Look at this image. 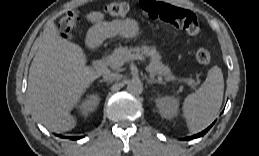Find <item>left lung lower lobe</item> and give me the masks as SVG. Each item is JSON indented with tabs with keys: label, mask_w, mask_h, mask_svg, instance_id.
Instances as JSON below:
<instances>
[{
	"label": "left lung lower lobe",
	"mask_w": 259,
	"mask_h": 156,
	"mask_svg": "<svg viewBox=\"0 0 259 156\" xmlns=\"http://www.w3.org/2000/svg\"><path fill=\"white\" fill-rule=\"evenodd\" d=\"M213 126V124H211L206 130H204L203 132L199 133V134H196L194 136H190V137H187V138H184L183 140H192L194 138H198V137H201L203 136L211 127Z\"/></svg>",
	"instance_id": "1"
}]
</instances>
